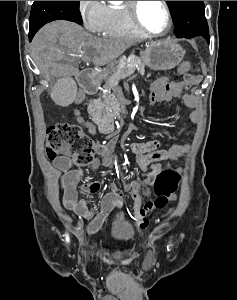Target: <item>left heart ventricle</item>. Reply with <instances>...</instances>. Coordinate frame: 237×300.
<instances>
[{
  "label": "left heart ventricle",
  "mask_w": 237,
  "mask_h": 300,
  "mask_svg": "<svg viewBox=\"0 0 237 300\" xmlns=\"http://www.w3.org/2000/svg\"><path fill=\"white\" fill-rule=\"evenodd\" d=\"M140 18L144 26L153 32L165 29L166 13L161 1H142Z\"/></svg>",
  "instance_id": "left-heart-ventricle-1"
}]
</instances>
